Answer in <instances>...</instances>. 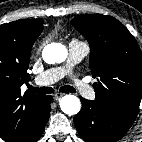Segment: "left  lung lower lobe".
I'll use <instances>...</instances> for the list:
<instances>
[{
    "label": "left lung lower lobe",
    "mask_w": 142,
    "mask_h": 142,
    "mask_svg": "<svg viewBox=\"0 0 142 142\" xmlns=\"http://www.w3.org/2000/svg\"><path fill=\"white\" fill-rule=\"evenodd\" d=\"M81 111L74 117V124L86 142H116L131 127V121L120 117L96 101L80 98Z\"/></svg>",
    "instance_id": "left-lung-lower-lobe-1"
}]
</instances>
